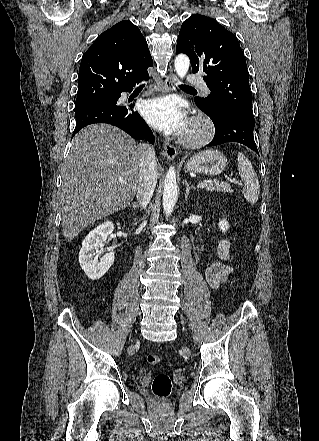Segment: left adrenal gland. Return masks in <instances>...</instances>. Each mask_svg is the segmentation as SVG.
Masks as SVG:
<instances>
[{"label": "left adrenal gland", "instance_id": "a2214340", "mask_svg": "<svg viewBox=\"0 0 319 441\" xmlns=\"http://www.w3.org/2000/svg\"><path fill=\"white\" fill-rule=\"evenodd\" d=\"M184 183H185V186H186L185 200L187 201V198L189 196L190 191L193 190L195 187L194 186H189L187 180H185Z\"/></svg>", "mask_w": 319, "mask_h": 441}]
</instances>
